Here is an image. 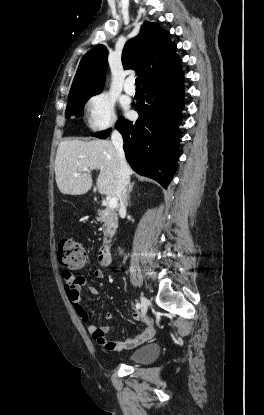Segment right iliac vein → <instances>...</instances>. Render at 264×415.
I'll list each match as a JSON object with an SVG mask.
<instances>
[{"instance_id": "obj_1", "label": "right iliac vein", "mask_w": 264, "mask_h": 415, "mask_svg": "<svg viewBox=\"0 0 264 415\" xmlns=\"http://www.w3.org/2000/svg\"><path fill=\"white\" fill-rule=\"evenodd\" d=\"M141 312H142V316H144L147 313L148 310V305H149V301L146 297L142 296L141 297Z\"/></svg>"}]
</instances>
